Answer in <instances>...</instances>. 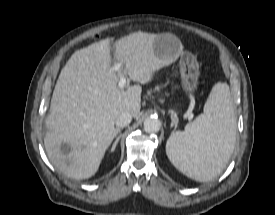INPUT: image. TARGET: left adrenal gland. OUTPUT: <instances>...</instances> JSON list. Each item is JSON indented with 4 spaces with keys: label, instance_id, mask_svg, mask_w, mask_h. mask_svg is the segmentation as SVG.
<instances>
[{
    "label": "left adrenal gland",
    "instance_id": "a2214340",
    "mask_svg": "<svg viewBox=\"0 0 275 215\" xmlns=\"http://www.w3.org/2000/svg\"><path fill=\"white\" fill-rule=\"evenodd\" d=\"M178 125V117L175 113H171V128L174 127L176 129Z\"/></svg>",
    "mask_w": 275,
    "mask_h": 215
}]
</instances>
